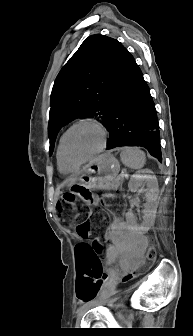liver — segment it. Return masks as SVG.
I'll return each instance as SVG.
<instances>
[{"instance_id": "liver-1", "label": "liver", "mask_w": 193, "mask_h": 336, "mask_svg": "<svg viewBox=\"0 0 193 336\" xmlns=\"http://www.w3.org/2000/svg\"><path fill=\"white\" fill-rule=\"evenodd\" d=\"M94 161H91L88 165L84 166L81 171L77 172L75 175H73L71 178H69L67 180L68 181V187H70L73 183H75L79 178L78 176L80 174H82L89 167V165L92 164Z\"/></svg>"}]
</instances>
